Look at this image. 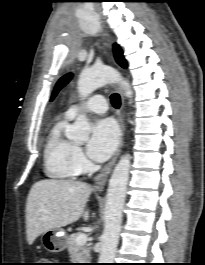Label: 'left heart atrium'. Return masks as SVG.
<instances>
[{
  "label": "left heart atrium",
  "mask_w": 205,
  "mask_h": 265,
  "mask_svg": "<svg viewBox=\"0 0 205 265\" xmlns=\"http://www.w3.org/2000/svg\"><path fill=\"white\" fill-rule=\"evenodd\" d=\"M118 141L119 130L116 123L110 118L98 120L92 128L87 153L95 161H105L116 149Z\"/></svg>",
  "instance_id": "1"
}]
</instances>
